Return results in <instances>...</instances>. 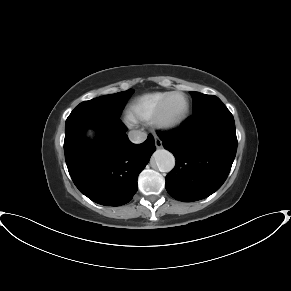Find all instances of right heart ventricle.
Listing matches in <instances>:
<instances>
[{"label": "right heart ventricle", "instance_id": "right-heart-ventricle-1", "mask_svg": "<svg viewBox=\"0 0 291 291\" xmlns=\"http://www.w3.org/2000/svg\"><path fill=\"white\" fill-rule=\"evenodd\" d=\"M169 92H154L136 97L127 107L128 116L134 121H151L158 106Z\"/></svg>", "mask_w": 291, "mask_h": 291}]
</instances>
